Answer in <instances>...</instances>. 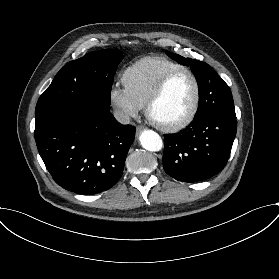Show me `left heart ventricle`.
Returning a JSON list of instances; mask_svg holds the SVG:
<instances>
[{
  "instance_id": "left-heart-ventricle-1",
  "label": "left heart ventricle",
  "mask_w": 279,
  "mask_h": 279,
  "mask_svg": "<svg viewBox=\"0 0 279 279\" xmlns=\"http://www.w3.org/2000/svg\"><path fill=\"white\" fill-rule=\"evenodd\" d=\"M194 93V83L189 75L176 77L154 105L153 116L166 123L181 119L190 109Z\"/></svg>"
}]
</instances>
